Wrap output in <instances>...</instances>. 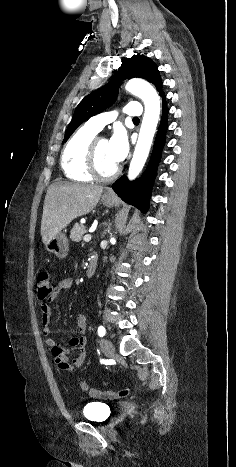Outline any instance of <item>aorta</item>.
Returning a JSON list of instances; mask_svg holds the SVG:
<instances>
[{"mask_svg": "<svg viewBox=\"0 0 236 467\" xmlns=\"http://www.w3.org/2000/svg\"><path fill=\"white\" fill-rule=\"evenodd\" d=\"M125 89L141 98L145 105L138 141L128 170V178L133 180L142 171L149 155L159 121L160 99L153 86L142 79L129 80Z\"/></svg>", "mask_w": 236, "mask_h": 467, "instance_id": "762f6f07", "label": "aorta"}]
</instances>
